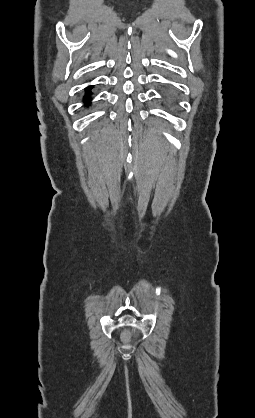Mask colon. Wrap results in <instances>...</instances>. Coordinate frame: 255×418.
Segmentation results:
<instances>
[{"label": "colon", "instance_id": "obj_1", "mask_svg": "<svg viewBox=\"0 0 255 418\" xmlns=\"http://www.w3.org/2000/svg\"><path fill=\"white\" fill-rule=\"evenodd\" d=\"M133 334H134V332H133V330H132V329H127V330H125V331L122 333V335H121V339H122V341H123L125 344H128V343L131 341V339H132V337H133Z\"/></svg>", "mask_w": 255, "mask_h": 418}]
</instances>
